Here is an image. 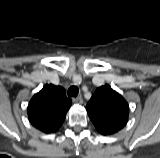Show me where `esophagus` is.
I'll use <instances>...</instances> for the list:
<instances>
[{"label": "esophagus", "instance_id": "34e87169", "mask_svg": "<svg viewBox=\"0 0 160 158\" xmlns=\"http://www.w3.org/2000/svg\"><path fill=\"white\" fill-rule=\"evenodd\" d=\"M73 102L82 104V103H83V98H82V96H78V97H76V98H73Z\"/></svg>", "mask_w": 160, "mask_h": 158}]
</instances>
